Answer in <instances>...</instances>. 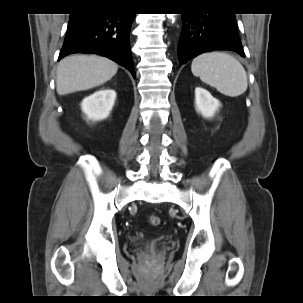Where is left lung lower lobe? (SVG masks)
Segmentation results:
<instances>
[{"instance_id":"left-lung-lower-lobe-1","label":"left lung lower lobe","mask_w":303,"mask_h":303,"mask_svg":"<svg viewBox=\"0 0 303 303\" xmlns=\"http://www.w3.org/2000/svg\"><path fill=\"white\" fill-rule=\"evenodd\" d=\"M213 50H231L245 56L234 14H182L179 62L184 64L201 53Z\"/></svg>"}]
</instances>
